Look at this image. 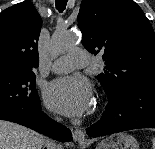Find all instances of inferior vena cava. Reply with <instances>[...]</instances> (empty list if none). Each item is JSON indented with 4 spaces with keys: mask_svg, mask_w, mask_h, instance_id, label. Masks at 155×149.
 <instances>
[{
    "mask_svg": "<svg viewBox=\"0 0 155 149\" xmlns=\"http://www.w3.org/2000/svg\"><path fill=\"white\" fill-rule=\"evenodd\" d=\"M58 121H60V119H57ZM46 147L47 149H61V147L59 145H57L53 140L51 139H47L46 140Z\"/></svg>",
    "mask_w": 155,
    "mask_h": 149,
    "instance_id": "inferior-vena-cava-1",
    "label": "inferior vena cava"
}]
</instances>
